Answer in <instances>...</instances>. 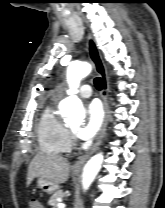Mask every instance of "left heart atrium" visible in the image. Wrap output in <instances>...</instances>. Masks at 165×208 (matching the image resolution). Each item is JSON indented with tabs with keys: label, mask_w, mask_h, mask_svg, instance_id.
Wrapping results in <instances>:
<instances>
[{
	"label": "left heart atrium",
	"mask_w": 165,
	"mask_h": 208,
	"mask_svg": "<svg viewBox=\"0 0 165 208\" xmlns=\"http://www.w3.org/2000/svg\"><path fill=\"white\" fill-rule=\"evenodd\" d=\"M103 120V111L98 101L90 102L86 107V120L77 130L80 139L92 140L98 133Z\"/></svg>",
	"instance_id": "obj_1"
}]
</instances>
